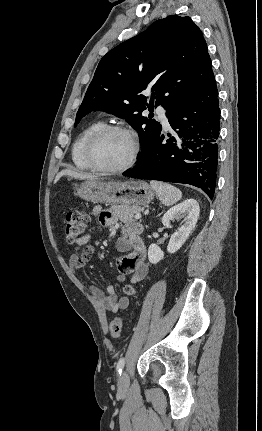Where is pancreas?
I'll list each match as a JSON object with an SVG mask.
<instances>
[{"label":"pancreas","instance_id":"1","mask_svg":"<svg viewBox=\"0 0 262 431\" xmlns=\"http://www.w3.org/2000/svg\"><path fill=\"white\" fill-rule=\"evenodd\" d=\"M113 210L115 211L116 215L123 223H132L134 222L135 215L140 213L142 208L138 206H126V205H120L113 207Z\"/></svg>","mask_w":262,"mask_h":431}]
</instances>
